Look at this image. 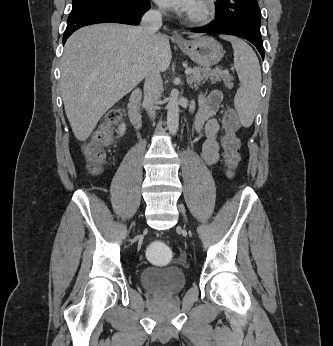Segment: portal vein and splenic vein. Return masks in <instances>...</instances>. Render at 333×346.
<instances>
[{
    "instance_id": "1",
    "label": "portal vein and splenic vein",
    "mask_w": 333,
    "mask_h": 346,
    "mask_svg": "<svg viewBox=\"0 0 333 346\" xmlns=\"http://www.w3.org/2000/svg\"><path fill=\"white\" fill-rule=\"evenodd\" d=\"M192 73V69L188 68L185 70L186 75H190Z\"/></svg>"
}]
</instances>
